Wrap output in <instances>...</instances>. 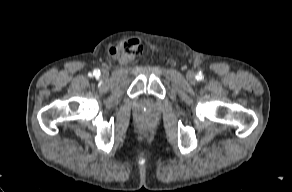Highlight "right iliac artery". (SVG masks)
I'll return each instance as SVG.
<instances>
[{
  "label": "right iliac artery",
  "instance_id": "82829eb1",
  "mask_svg": "<svg viewBox=\"0 0 292 192\" xmlns=\"http://www.w3.org/2000/svg\"><path fill=\"white\" fill-rule=\"evenodd\" d=\"M93 75H94V76H98V75H100V71L97 70V69H95L94 72H93Z\"/></svg>",
  "mask_w": 292,
  "mask_h": 192
}]
</instances>
